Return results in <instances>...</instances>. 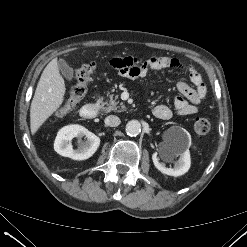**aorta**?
Returning <instances> with one entry per match:
<instances>
[{
  "label": "aorta",
  "instance_id": "aorta-1",
  "mask_svg": "<svg viewBox=\"0 0 247 247\" xmlns=\"http://www.w3.org/2000/svg\"><path fill=\"white\" fill-rule=\"evenodd\" d=\"M126 133L131 137H136L141 132V123L138 120H131L126 124Z\"/></svg>",
  "mask_w": 247,
  "mask_h": 247
}]
</instances>
